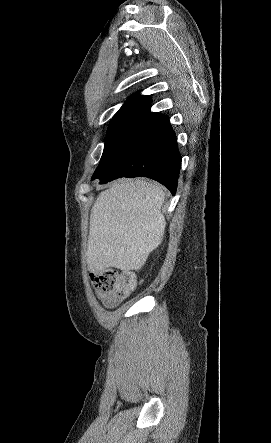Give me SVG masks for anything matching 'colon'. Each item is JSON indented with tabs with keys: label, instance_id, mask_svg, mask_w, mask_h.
<instances>
[{
	"label": "colon",
	"instance_id": "1",
	"mask_svg": "<svg viewBox=\"0 0 271 443\" xmlns=\"http://www.w3.org/2000/svg\"><path fill=\"white\" fill-rule=\"evenodd\" d=\"M93 287L106 295L124 299L135 288V278L131 271L108 269L90 275Z\"/></svg>",
	"mask_w": 271,
	"mask_h": 443
}]
</instances>
